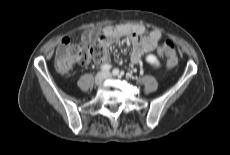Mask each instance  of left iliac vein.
I'll return each mask as SVG.
<instances>
[{
	"mask_svg": "<svg viewBox=\"0 0 230 155\" xmlns=\"http://www.w3.org/2000/svg\"><path fill=\"white\" fill-rule=\"evenodd\" d=\"M105 76H106V78H111L112 75H111L110 72H106V73H105Z\"/></svg>",
	"mask_w": 230,
	"mask_h": 155,
	"instance_id": "1",
	"label": "left iliac vein"
}]
</instances>
